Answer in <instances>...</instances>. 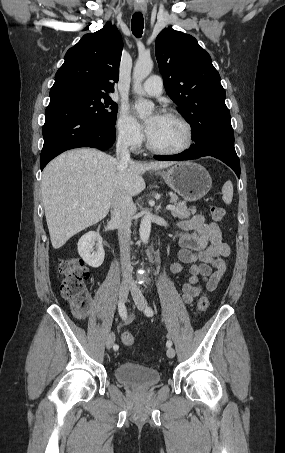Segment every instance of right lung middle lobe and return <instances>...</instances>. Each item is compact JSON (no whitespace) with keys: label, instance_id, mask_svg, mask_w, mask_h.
Segmentation results:
<instances>
[{"label":"right lung middle lobe","instance_id":"dd1d6c3e","mask_svg":"<svg viewBox=\"0 0 285 453\" xmlns=\"http://www.w3.org/2000/svg\"><path fill=\"white\" fill-rule=\"evenodd\" d=\"M59 99L75 106L99 128L115 130L118 106L108 95L69 93Z\"/></svg>","mask_w":285,"mask_h":453}]
</instances>
